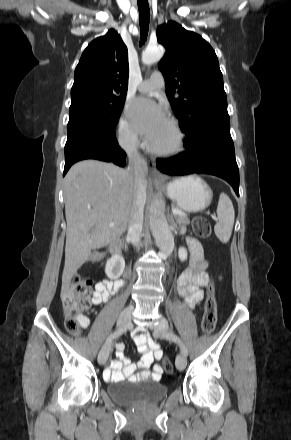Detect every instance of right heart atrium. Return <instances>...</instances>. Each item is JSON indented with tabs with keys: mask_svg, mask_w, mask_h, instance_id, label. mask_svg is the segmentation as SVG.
Masks as SVG:
<instances>
[{
	"mask_svg": "<svg viewBox=\"0 0 291 440\" xmlns=\"http://www.w3.org/2000/svg\"><path fill=\"white\" fill-rule=\"evenodd\" d=\"M118 142L125 151H132L139 145V138L125 115L118 124Z\"/></svg>",
	"mask_w": 291,
	"mask_h": 440,
	"instance_id": "1",
	"label": "right heart atrium"
}]
</instances>
